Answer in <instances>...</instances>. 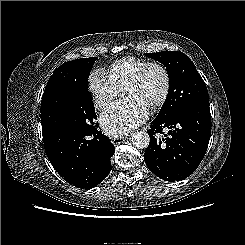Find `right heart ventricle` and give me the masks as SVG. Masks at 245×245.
Returning <instances> with one entry per match:
<instances>
[{
  "mask_svg": "<svg viewBox=\"0 0 245 245\" xmlns=\"http://www.w3.org/2000/svg\"><path fill=\"white\" fill-rule=\"evenodd\" d=\"M147 63L148 60L128 56L113 62L108 66L106 75L119 90Z\"/></svg>",
  "mask_w": 245,
  "mask_h": 245,
  "instance_id": "right-heart-ventricle-1",
  "label": "right heart ventricle"
}]
</instances>
